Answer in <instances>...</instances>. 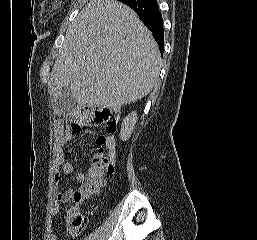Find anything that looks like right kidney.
Returning <instances> with one entry per match:
<instances>
[{
    "mask_svg": "<svg viewBox=\"0 0 257 240\" xmlns=\"http://www.w3.org/2000/svg\"><path fill=\"white\" fill-rule=\"evenodd\" d=\"M137 121V113L134 111L124 118L120 132V138L126 141L130 138Z\"/></svg>",
    "mask_w": 257,
    "mask_h": 240,
    "instance_id": "ca27d5eb",
    "label": "right kidney"
}]
</instances>
